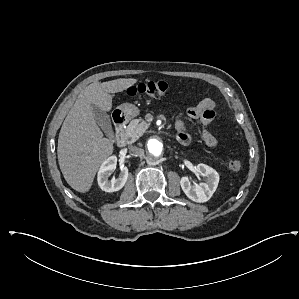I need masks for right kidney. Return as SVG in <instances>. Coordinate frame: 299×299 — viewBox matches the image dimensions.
Masks as SVG:
<instances>
[{
	"instance_id": "obj_1",
	"label": "right kidney",
	"mask_w": 299,
	"mask_h": 299,
	"mask_svg": "<svg viewBox=\"0 0 299 299\" xmlns=\"http://www.w3.org/2000/svg\"><path fill=\"white\" fill-rule=\"evenodd\" d=\"M117 157L110 156L101 165L98 171V185L105 192H115L123 188L128 178V168L122 167L117 179L108 180L112 172L116 169Z\"/></svg>"
}]
</instances>
